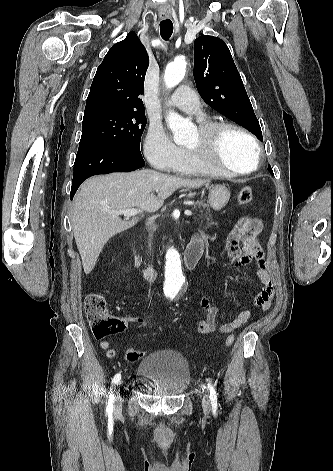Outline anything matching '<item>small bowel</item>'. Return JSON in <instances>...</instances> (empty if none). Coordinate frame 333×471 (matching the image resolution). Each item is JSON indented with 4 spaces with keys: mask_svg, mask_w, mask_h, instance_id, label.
Wrapping results in <instances>:
<instances>
[{
    "mask_svg": "<svg viewBox=\"0 0 333 471\" xmlns=\"http://www.w3.org/2000/svg\"><path fill=\"white\" fill-rule=\"evenodd\" d=\"M261 231L262 222L259 219L250 217L239 219L227 236L226 250L231 262L237 267L247 266L252 262L256 263V274L262 283V289L255 296L254 303L262 311H266L271 306L275 288L266 266L263 248L258 240ZM195 237L202 239L201 236ZM200 304L204 315L198 322V332L203 335L217 330L221 334H230L246 324L252 315L250 310H244L232 321L217 325L218 308L211 304L208 297H203ZM129 320L141 325L147 324V321L142 317H131ZM100 347L105 350L108 358L115 356L116 352L108 341H102Z\"/></svg>",
    "mask_w": 333,
    "mask_h": 471,
    "instance_id": "small-bowel-1",
    "label": "small bowel"
}]
</instances>
